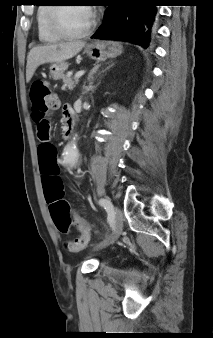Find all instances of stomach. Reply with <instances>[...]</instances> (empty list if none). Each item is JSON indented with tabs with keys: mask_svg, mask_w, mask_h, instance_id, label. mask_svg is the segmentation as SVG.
Here are the masks:
<instances>
[{
	"mask_svg": "<svg viewBox=\"0 0 213 338\" xmlns=\"http://www.w3.org/2000/svg\"><path fill=\"white\" fill-rule=\"evenodd\" d=\"M85 53L95 61H103L107 58L117 57L122 53V46L114 42L96 41L86 45ZM68 64L65 61L53 62L50 64V76L54 80L61 79L64 76Z\"/></svg>",
	"mask_w": 213,
	"mask_h": 338,
	"instance_id": "stomach-1",
	"label": "stomach"
}]
</instances>
